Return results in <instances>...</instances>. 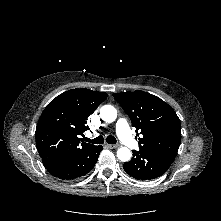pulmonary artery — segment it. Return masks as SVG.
<instances>
[{"mask_svg":"<svg viewBox=\"0 0 221 221\" xmlns=\"http://www.w3.org/2000/svg\"><path fill=\"white\" fill-rule=\"evenodd\" d=\"M116 131L117 134L119 136V138L121 139V141L127 145L128 147L131 148H136L138 147V141L135 140L131 133H130V129L128 126V123L126 122V120L124 119H119L116 123Z\"/></svg>","mask_w":221,"mask_h":221,"instance_id":"pulmonary-artery-1","label":"pulmonary artery"}]
</instances>
